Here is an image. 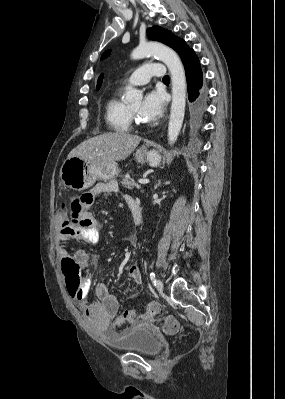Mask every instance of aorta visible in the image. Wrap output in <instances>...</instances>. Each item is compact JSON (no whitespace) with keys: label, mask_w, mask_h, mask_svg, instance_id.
<instances>
[{"label":"aorta","mask_w":285,"mask_h":399,"mask_svg":"<svg viewBox=\"0 0 285 399\" xmlns=\"http://www.w3.org/2000/svg\"><path fill=\"white\" fill-rule=\"evenodd\" d=\"M150 56L158 57L168 67L171 74L172 104L168 124V142L173 144L178 138L185 114L186 77L184 67L173 49L158 42L140 43L131 53V58L134 60ZM142 97L141 91L130 88L125 95V101L133 104L140 102Z\"/></svg>","instance_id":"762f6f07"}]
</instances>
